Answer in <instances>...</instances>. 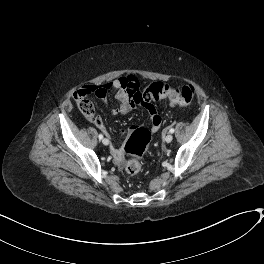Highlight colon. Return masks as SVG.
I'll return each instance as SVG.
<instances>
[{
	"mask_svg": "<svg viewBox=\"0 0 264 264\" xmlns=\"http://www.w3.org/2000/svg\"><path fill=\"white\" fill-rule=\"evenodd\" d=\"M96 88H84L78 90L74 99L81 113L93 123L100 120L95 116L94 106L88 96L95 92ZM195 95L194 87L190 84L176 87L169 84L153 83L133 94V101L139 105H151L160 99H168L175 103H189ZM150 142V133L139 126H135L129 139L125 144V152L130 156L125 171L129 176L140 173L142 164L141 157L146 145Z\"/></svg>",
	"mask_w": 264,
	"mask_h": 264,
	"instance_id": "1",
	"label": "colon"
}]
</instances>
